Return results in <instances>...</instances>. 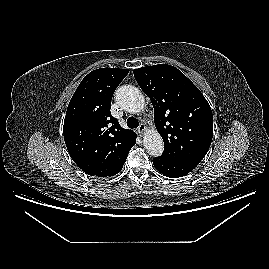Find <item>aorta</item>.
<instances>
[{
	"instance_id": "obj_1",
	"label": "aorta",
	"mask_w": 269,
	"mask_h": 269,
	"mask_svg": "<svg viewBox=\"0 0 269 269\" xmlns=\"http://www.w3.org/2000/svg\"><path fill=\"white\" fill-rule=\"evenodd\" d=\"M116 100L124 110L130 113L141 112L145 105L142 92L130 85L122 86L116 91ZM143 143L147 153L151 156L158 157L164 150L163 139L157 130L146 132Z\"/></svg>"
}]
</instances>
